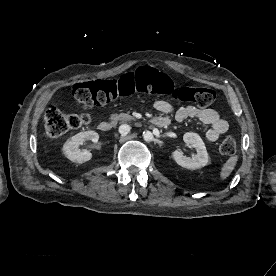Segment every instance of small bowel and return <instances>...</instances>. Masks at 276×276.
Returning a JSON list of instances; mask_svg holds the SVG:
<instances>
[{"instance_id":"small-bowel-1","label":"small bowel","mask_w":276,"mask_h":276,"mask_svg":"<svg viewBox=\"0 0 276 276\" xmlns=\"http://www.w3.org/2000/svg\"><path fill=\"white\" fill-rule=\"evenodd\" d=\"M154 107L157 111L167 115L174 113V117L177 121L182 122L188 118H194L200 122L210 126V129L206 132V138L210 142H215L218 138L227 132L229 129L228 121L223 118L219 112L212 108H197L195 106L181 107L174 110L173 106L164 100H158L154 103ZM169 121L167 116H160Z\"/></svg>"}]
</instances>
